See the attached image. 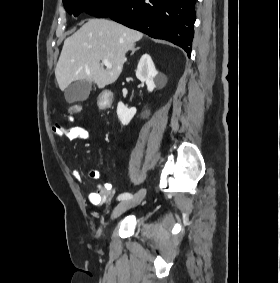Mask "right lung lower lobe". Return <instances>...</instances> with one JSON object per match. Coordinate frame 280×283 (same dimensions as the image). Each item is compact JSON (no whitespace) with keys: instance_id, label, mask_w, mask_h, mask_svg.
<instances>
[{"instance_id":"98d812e1","label":"right lung lower lobe","mask_w":280,"mask_h":283,"mask_svg":"<svg viewBox=\"0 0 280 283\" xmlns=\"http://www.w3.org/2000/svg\"><path fill=\"white\" fill-rule=\"evenodd\" d=\"M195 3V0H131L109 17L153 38L170 41L190 53Z\"/></svg>"}]
</instances>
